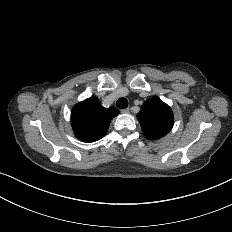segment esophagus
Returning a JSON list of instances; mask_svg holds the SVG:
<instances>
[{"label": "esophagus", "instance_id": "1", "mask_svg": "<svg viewBox=\"0 0 232 232\" xmlns=\"http://www.w3.org/2000/svg\"><path fill=\"white\" fill-rule=\"evenodd\" d=\"M129 112H130V111H129L128 108L122 109V110H121V113H122V114H129Z\"/></svg>", "mask_w": 232, "mask_h": 232}]
</instances>
